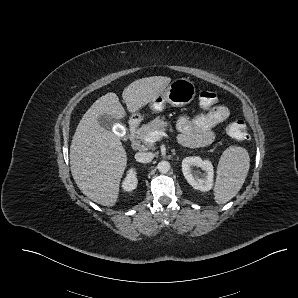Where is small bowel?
<instances>
[{
  "mask_svg": "<svg viewBox=\"0 0 298 298\" xmlns=\"http://www.w3.org/2000/svg\"><path fill=\"white\" fill-rule=\"evenodd\" d=\"M229 115L230 110L227 106L218 105L193 119L186 116L181 117L177 122V127L181 136L194 139L195 146H203L213 141L214 127L227 120Z\"/></svg>",
  "mask_w": 298,
  "mask_h": 298,
  "instance_id": "1",
  "label": "small bowel"
}]
</instances>
